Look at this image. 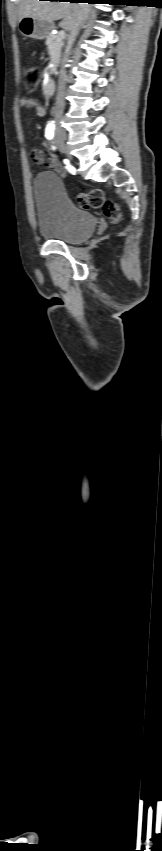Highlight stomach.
Returning a JSON list of instances; mask_svg holds the SVG:
<instances>
[{
  "label": "stomach",
  "instance_id": "obj_1",
  "mask_svg": "<svg viewBox=\"0 0 162 851\" xmlns=\"http://www.w3.org/2000/svg\"><path fill=\"white\" fill-rule=\"evenodd\" d=\"M18 28L24 37L42 40L50 35L53 23L32 17H23L19 20Z\"/></svg>",
  "mask_w": 162,
  "mask_h": 851
}]
</instances>
